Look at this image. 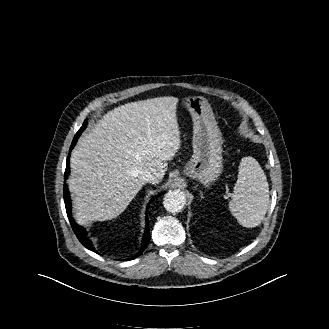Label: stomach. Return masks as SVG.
<instances>
[{
	"mask_svg": "<svg viewBox=\"0 0 329 329\" xmlns=\"http://www.w3.org/2000/svg\"><path fill=\"white\" fill-rule=\"evenodd\" d=\"M193 121V155L184 174L210 186L222 173V134L212 108L201 96L187 97L183 101Z\"/></svg>",
	"mask_w": 329,
	"mask_h": 329,
	"instance_id": "0dacf381",
	"label": "stomach"
}]
</instances>
